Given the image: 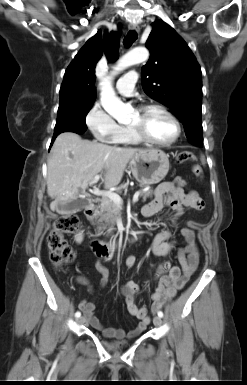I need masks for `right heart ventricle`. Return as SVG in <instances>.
I'll return each mask as SVG.
<instances>
[{
  "mask_svg": "<svg viewBox=\"0 0 247 385\" xmlns=\"http://www.w3.org/2000/svg\"><path fill=\"white\" fill-rule=\"evenodd\" d=\"M117 143L120 144H137L139 140L134 136L129 127H121V132Z\"/></svg>",
  "mask_w": 247,
  "mask_h": 385,
  "instance_id": "1",
  "label": "right heart ventricle"
}]
</instances>
